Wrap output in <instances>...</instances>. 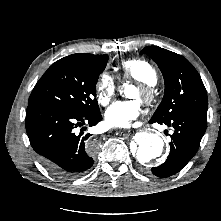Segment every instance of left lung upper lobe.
Segmentation results:
<instances>
[{
	"instance_id": "obj_1",
	"label": "left lung upper lobe",
	"mask_w": 221,
	"mask_h": 221,
	"mask_svg": "<svg viewBox=\"0 0 221 221\" xmlns=\"http://www.w3.org/2000/svg\"><path fill=\"white\" fill-rule=\"evenodd\" d=\"M141 53L157 63L165 81L164 97L151 120L164 122L184 114L206 121L207 92L192 64L183 56L157 46L145 47Z\"/></svg>"
}]
</instances>
